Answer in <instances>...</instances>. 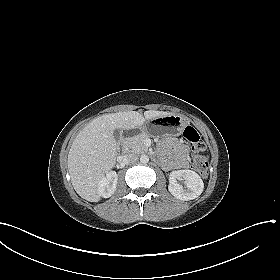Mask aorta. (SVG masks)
<instances>
[{
  "mask_svg": "<svg viewBox=\"0 0 280 280\" xmlns=\"http://www.w3.org/2000/svg\"><path fill=\"white\" fill-rule=\"evenodd\" d=\"M140 162L143 163V164H146L149 162V157L147 155H141L140 156Z\"/></svg>",
  "mask_w": 280,
  "mask_h": 280,
  "instance_id": "1",
  "label": "aorta"
}]
</instances>
